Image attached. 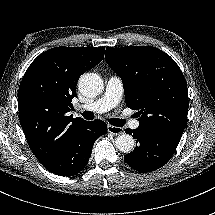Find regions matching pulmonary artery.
<instances>
[{"label": "pulmonary artery", "mask_w": 215, "mask_h": 215, "mask_svg": "<svg viewBox=\"0 0 215 215\" xmlns=\"http://www.w3.org/2000/svg\"><path fill=\"white\" fill-rule=\"evenodd\" d=\"M123 96V84L121 79L111 77L106 84L105 92L100 99L91 105H77L78 112L93 111L105 112L119 104ZM129 128L132 131H139L142 128V121L139 118H132L129 121Z\"/></svg>", "instance_id": "pulmonary-artery-1"}]
</instances>
